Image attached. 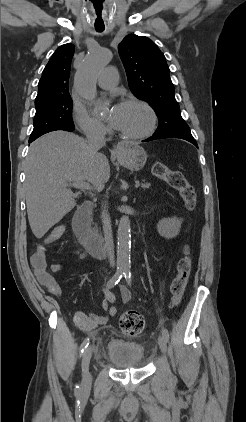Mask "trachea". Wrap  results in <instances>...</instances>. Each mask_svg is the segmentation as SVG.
<instances>
[{
	"mask_svg": "<svg viewBox=\"0 0 246 422\" xmlns=\"http://www.w3.org/2000/svg\"><path fill=\"white\" fill-rule=\"evenodd\" d=\"M102 6V2H100L99 7ZM97 32H102L104 30V27H95Z\"/></svg>",
	"mask_w": 246,
	"mask_h": 422,
	"instance_id": "3493384b",
	"label": "trachea"
}]
</instances>
